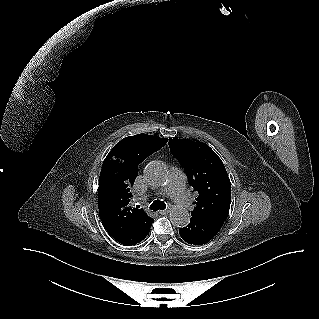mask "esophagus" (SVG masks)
Instances as JSON below:
<instances>
[{
	"mask_svg": "<svg viewBox=\"0 0 319 319\" xmlns=\"http://www.w3.org/2000/svg\"><path fill=\"white\" fill-rule=\"evenodd\" d=\"M169 213V210H161L159 211V214L161 215H165V214H168Z\"/></svg>",
	"mask_w": 319,
	"mask_h": 319,
	"instance_id": "obj_1",
	"label": "esophagus"
}]
</instances>
